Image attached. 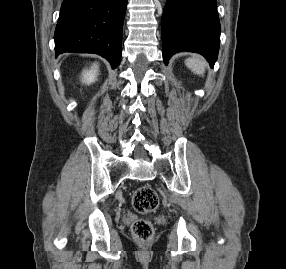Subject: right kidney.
<instances>
[{
    "mask_svg": "<svg viewBox=\"0 0 286 269\" xmlns=\"http://www.w3.org/2000/svg\"><path fill=\"white\" fill-rule=\"evenodd\" d=\"M97 74H98V66L97 64H94L91 67V69L83 71L82 82L88 85L95 82Z\"/></svg>",
    "mask_w": 286,
    "mask_h": 269,
    "instance_id": "right-kidney-1",
    "label": "right kidney"
}]
</instances>
